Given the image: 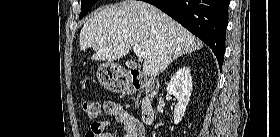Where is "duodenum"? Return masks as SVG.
<instances>
[{
  "mask_svg": "<svg viewBox=\"0 0 280 137\" xmlns=\"http://www.w3.org/2000/svg\"><path fill=\"white\" fill-rule=\"evenodd\" d=\"M129 86L132 91L142 90V120L147 125L155 122V108L153 105L154 98L160 89V83L155 78H139L137 75H131Z\"/></svg>",
  "mask_w": 280,
  "mask_h": 137,
  "instance_id": "duodenum-1",
  "label": "duodenum"
}]
</instances>
